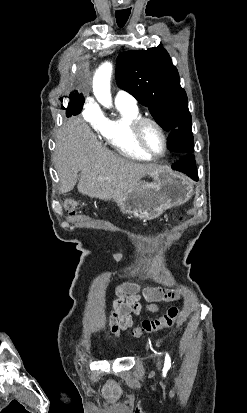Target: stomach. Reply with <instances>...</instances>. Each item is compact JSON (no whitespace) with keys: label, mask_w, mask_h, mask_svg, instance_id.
<instances>
[{"label":"stomach","mask_w":247,"mask_h":413,"mask_svg":"<svg viewBox=\"0 0 247 413\" xmlns=\"http://www.w3.org/2000/svg\"><path fill=\"white\" fill-rule=\"evenodd\" d=\"M150 180H139L128 192L116 198L122 213L137 219H156L166 209L180 207L191 198L194 190L191 178L160 166L149 172Z\"/></svg>","instance_id":"obj_1"}]
</instances>
